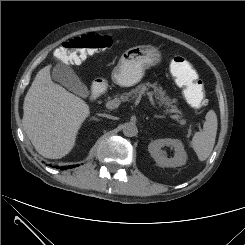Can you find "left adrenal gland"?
Here are the masks:
<instances>
[{"label":"left adrenal gland","mask_w":245,"mask_h":245,"mask_svg":"<svg viewBox=\"0 0 245 245\" xmlns=\"http://www.w3.org/2000/svg\"><path fill=\"white\" fill-rule=\"evenodd\" d=\"M155 117H156V118H162V116H160V115H155Z\"/></svg>","instance_id":"1"}]
</instances>
